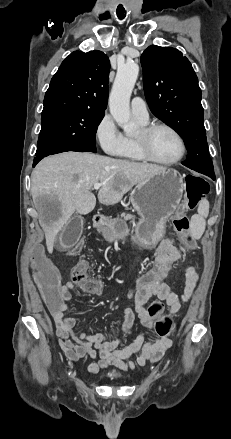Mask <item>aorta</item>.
<instances>
[{"label":"aorta","mask_w":231,"mask_h":439,"mask_svg":"<svg viewBox=\"0 0 231 439\" xmlns=\"http://www.w3.org/2000/svg\"><path fill=\"white\" fill-rule=\"evenodd\" d=\"M138 74L139 66L135 62L119 66L109 96L110 113L127 135L136 131L130 117V97Z\"/></svg>","instance_id":"1"}]
</instances>
